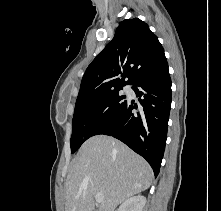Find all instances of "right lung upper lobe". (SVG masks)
Segmentation results:
<instances>
[{
	"label": "right lung upper lobe",
	"instance_id": "cb5924a9",
	"mask_svg": "<svg viewBox=\"0 0 221 211\" xmlns=\"http://www.w3.org/2000/svg\"><path fill=\"white\" fill-rule=\"evenodd\" d=\"M166 65L164 49L148 25L138 18L126 19L88 66L78 98L121 89Z\"/></svg>",
	"mask_w": 221,
	"mask_h": 211
}]
</instances>
